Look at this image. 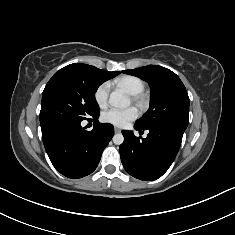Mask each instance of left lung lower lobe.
<instances>
[{
	"label": "left lung lower lobe",
	"mask_w": 235,
	"mask_h": 235,
	"mask_svg": "<svg viewBox=\"0 0 235 235\" xmlns=\"http://www.w3.org/2000/svg\"><path fill=\"white\" fill-rule=\"evenodd\" d=\"M146 138L136 137L132 131L123 130L124 142L120 145L122 164L131 176L151 181L161 177L171 166L180 148L184 129L170 125L151 128Z\"/></svg>",
	"instance_id": "obj_1"
}]
</instances>
